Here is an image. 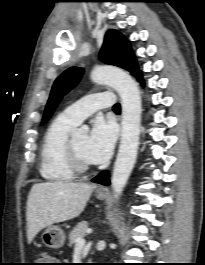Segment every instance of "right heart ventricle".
<instances>
[{
    "instance_id": "1",
    "label": "right heart ventricle",
    "mask_w": 205,
    "mask_h": 265,
    "mask_svg": "<svg viewBox=\"0 0 205 265\" xmlns=\"http://www.w3.org/2000/svg\"><path fill=\"white\" fill-rule=\"evenodd\" d=\"M76 125L61 114L47 128L41 146L40 173L44 179L56 183L74 179L75 172L68 161L67 146L70 131Z\"/></svg>"
}]
</instances>
